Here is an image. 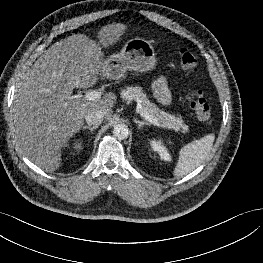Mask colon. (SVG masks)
<instances>
[{
	"label": "colon",
	"mask_w": 263,
	"mask_h": 263,
	"mask_svg": "<svg viewBox=\"0 0 263 263\" xmlns=\"http://www.w3.org/2000/svg\"><path fill=\"white\" fill-rule=\"evenodd\" d=\"M181 66L188 74L198 75V61L196 55L188 48H182L179 52ZM188 102L196 118L205 124H209L213 119V112L208 104L204 93L200 89H192L188 94Z\"/></svg>",
	"instance_id": "5ec220e1"
}]
</instances>
